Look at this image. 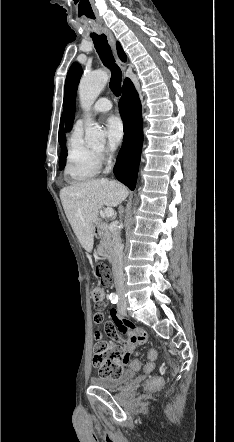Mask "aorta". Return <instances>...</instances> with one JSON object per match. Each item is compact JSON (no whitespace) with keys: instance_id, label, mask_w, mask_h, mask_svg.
I'll return each mask as SVG.
<instances>
[{"instance_id":"762f6f07","label":"aorta","mask_w":234,"mask_h":442,"mask_svg":"<svg viewBox=\"0 0 234 442\" xmlns=\"http://www.w3.org/2000/svg\"><path fill=\"white\" fill-rule=\"evenodd\" d=\"M108 79L109 75L104 70H97L86 74L81 78L78 92L80 103L84 109H90L101 91L104 89ZM85 133L86 140L90 144L104 141V134L100 126L90 120L86 123Z\"/></svg>"}]
</instances>
